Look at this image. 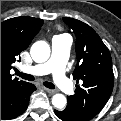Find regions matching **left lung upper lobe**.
<instances>
[{
	"label": "left lung upper lobe",
	"mask_w": 121,
	"mask_h": 121,
	"mask_svg": "<svg viewBox=\"0 0 121 121\" xmlns=\"http://www.w3.org/2000/svg\"><path fill=\"white\" fill-rule=\"evenodd\" d=\"M77 36V65L73 72L77 80L75 94L67 97L68 105L80 114L93 118L108 101L114 83L112 59L99 35L86 23L63 18Z\"/></svg>",
	"instance_id": "1"
}]
</instances>
